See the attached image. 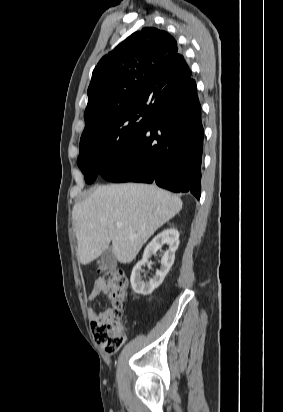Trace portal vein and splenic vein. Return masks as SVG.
I'll use <instances>...</instances> for the list:
<instances>
[{
    "label": "portal vein and splenic vein",
    "mask_w": 283,
    "mask_h": 412,
    "mask_svg": "<svg viewBox=\"0 0 283 412\" xmlns=\"http://www.w3.org/2000/svg\"><path fill=\"white\" fill-rule=\"evenodd\" d=\"M116 227H117V228H121V227H122V223H121V222H117V223H116Z\"/></svg>",
    "instance_id": "18ae733b"
}]
</instances>
